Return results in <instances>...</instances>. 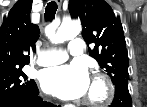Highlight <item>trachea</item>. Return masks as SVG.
I'll use <instances>...</instances> for the list:
<instances>
[{"label": "trachea", "instance_id": "3493384b", "mask_svg": "<svg viewBox=\"0 0 147 107\" xmlns=\"http://www.w3.org/2000/svg\"><path fill=\"white\" fill-rule=\"evenodd\" d=\"M56 11H57L56 2L55 1L49 2L45 8L46 21H51L53 18H55Z\"/></svg>", "mask_w": 147, "mask_h": 107}]
</instances>
